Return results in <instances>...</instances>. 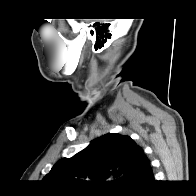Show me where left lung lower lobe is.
I'll use <instances>...</instances> for the list:
<instances>
[{
  "instance_id": "0a47b994",
  "label": "left lung lower lobe",
  "mask_w": 196,
  "mask_h": 196,
  "mask_svg": "<svg viewBox=\"0 0 196 196\" xmlns=\"http://www.w3.org/2000/svg\"><path fill=\"white\" fill-rule=\"evenodd\" d=\"M153 181H154V175H153L152 168L149 165L139 186H142L146 183H151Z\"/></svg>"
}]
</instances>
